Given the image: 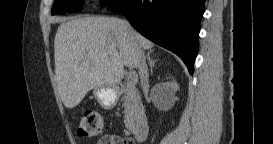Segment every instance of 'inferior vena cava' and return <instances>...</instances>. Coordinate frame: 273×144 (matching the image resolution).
Returning <instances> with one entry per match:
<instances>
[{"instance_id":"602c4592","label":"inferior vena cava","mask_w":273,"mask_h":144,"mask_svg":"<svg viewBox=\"0 0 273 144\" xmlns=\"http://www.w3.org/2000/svg\"><path fill=\"white\" fill-rule=\"evenodd\" d=\"M124 24L126 25V29L130 32L133 33V30L129 23L127 21H124ZM136 57H137V62H138V69H139V76L141 80V85L145 89L149 85V75H148V67L146 64V57L144 54L143 49L141 46L136 45Z\"/></svg>"}]
</instances>
